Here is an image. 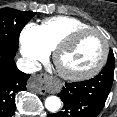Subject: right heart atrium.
<instances>
[{"label": "right heart atrium", "instance_id": "obj_1", "mask_svg": "<svg viewBox=\"0 0 117 117\" xmlns=\"http://www.w3.org/2000/svg\"><path fill=\"white\" fill-rule=\"evenodd\" d=\"M20 52L26 64L35 67L39 62L45 60L49 50L43 44L39 28L35 24H28L20 34Z\"/></svg>", "mask_w": 117, "mask_h": 117}]
</instances>
